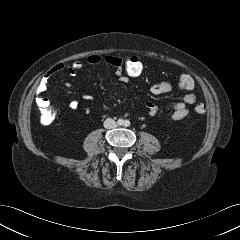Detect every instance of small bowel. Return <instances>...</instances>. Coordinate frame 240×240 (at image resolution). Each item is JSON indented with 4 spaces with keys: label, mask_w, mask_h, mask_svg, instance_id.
<instances>
[{
    "label": "small bowel",
    "mask_w": 240,
    "mask_h": 240,
    "mask_svg": "<svg viewBox=\"0 0 240 240\" xmlns=\"http://www.w3.org/2000/svg\"><path fill=\"white\" fill-rule=\"evenodd\" d=\"M121 58L116 57V56H100L98 54H92L87 57V63L92 66H98L103 63L111 66L114 69L115 74L118 76L119 80L123 83H126L128 81V77L125 76L120 68V63ZM84 64L81 61H74L70 65H65L63 63H59L54 65L45 75L43 78L42 82L40 83L38 87V94L35 98V102L39 107L42 106H49L50 101L49 99L45 98L43 96V93L47 89V80L51 75L54 73L60 72V71H65L70 75L76 74L78 71L83 69ZM65 86L68 88H73L74 85L70 82H66ZM173 85L169 81H161L158 83L153 84L150 87L151 93L155 95H161L168 93L172 90ZM82 98L86 101H90L93 99L92 95L90 94H84ZM196 101V97L193 94H186L182 98L181 101L171 103L168 105L167 109L170 112V118L173 121H179L185 118L189 114V109L188 106L193 104ZM145 106L148 110L149 115L151 116H156L160 109L159 107L154 104L153 102L147 101L145 103ZM68 107L70 109H77L78 108V102L75 100H72L68 103Z\"/></svg>",
    "instance_id": "obj_1"
}]
</instances>
